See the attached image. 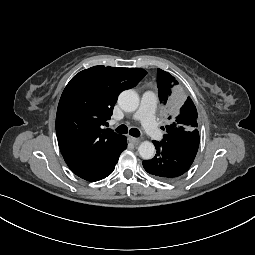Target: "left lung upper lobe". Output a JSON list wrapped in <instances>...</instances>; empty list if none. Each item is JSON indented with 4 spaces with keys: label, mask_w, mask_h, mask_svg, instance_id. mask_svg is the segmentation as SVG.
<instances>
[{
    "label": "left lung upper lobe",
    "mask_w": 255,
    "mask_h": 255,
    "mask_svg": "<svg viewBox=\"0 0 255 255\" xmlns=\"http://www.w3.org/2000/svg\"><path fill=\"white\" fill-rule=\"evenodd\" d=\"M178 82L168 72L157 70L159 99L169 107V124L166 125L162 143L175 142L199 136L197 110L190 97L180 94Z\"/></svg>",
    "instance_id": "5c2ea615"
}]
</instances>
